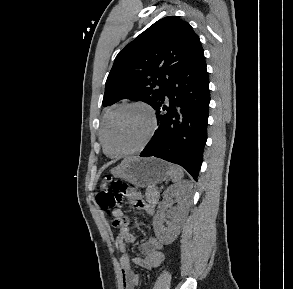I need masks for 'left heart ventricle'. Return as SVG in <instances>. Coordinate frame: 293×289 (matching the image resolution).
Masks as SVG:
<instances>
[{
    "instance_id": "1",
    "label": "left heart ventricle",
    "mask_w": 293,
    "mask_h": 289,
    "mask_svg": "<svg viewBox=\"0 0 293 289\" xmlns=\"http://www.w3.org/2000/svg\"><path fill=\"white\" fill-rule=\"evenodd\" d=\"M150 127L147 112L140 107L122 111L113 121L107 136L111 153L131 150L142 143Z\"/></svg>"
}]
</instances>
